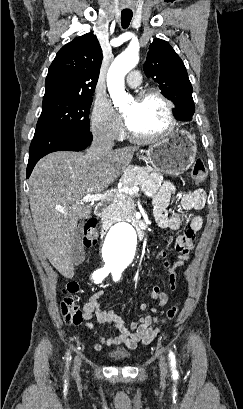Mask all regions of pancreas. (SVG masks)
I'll return each instance as SVG.
<instances>
[{
	"label": "pancreas",
	"instance_id": "cf45deb5",
	"mask_svg": "<svg viewBox=\"0 0 243 409\" xmlns=\"http://www.w3.org/2000/svg\"><path fill=\"white\" fill-rule=\"evenodd\" d=\"M151 168L129 166L125 171L121 183L122 186H140L145 188ZM115 202L105 209L102 216L108 222H116L119 220H129L135 216L134 200L130 194L119 192L114 194Z\"/></svg>",
	"mask_w": 243,
	"mask_h": 409
}]
</instances>
